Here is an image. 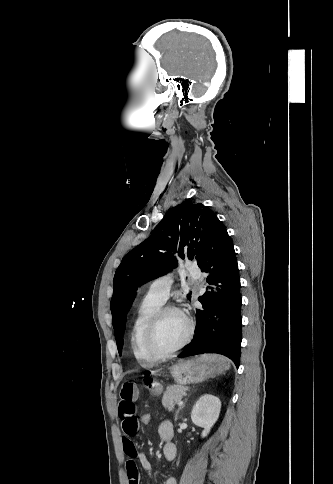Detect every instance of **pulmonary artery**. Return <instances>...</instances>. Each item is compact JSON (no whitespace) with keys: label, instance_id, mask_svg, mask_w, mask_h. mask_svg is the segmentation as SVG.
Masks as SVG:
<instances>
[{"label":"pulmonary artery","instance_id":"pulmonary-artery-1","mask_svg":"<svg viewBox=\"0 0 333 484\" xmlns=\"http://www.w3.org/2000/svg\"><path fill=\"white\" fill-rule=\"evenodd\" d=\"M188 273L193 278H198L200 275V272L191 266L188 267ZM172 283L173 278L171 275H165L154 280L148 288L147 297L163 304L169 296Z\"/></svg>","mask_w":333,"mask_h":484}]
</instances>
